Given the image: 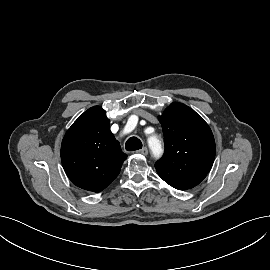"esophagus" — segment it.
Returning <instances> with one entry per match:
<instances>
[{"instance_id": "obj_1", "label": "esophagus", "mask_w": 270, "mask_h": 270, "mask_svg": "<svg viewBox=\"0 0 270 270\" xmlns=\"http://www.w3.org/2000/svg\"><path fill=\"white\" fill-rule=\"evenodd\" d=\"M137 153L139 154H142V155H147L148 154V149L147 147H143L142 149L136 151Z\"/></svg>"}]
</instances>
